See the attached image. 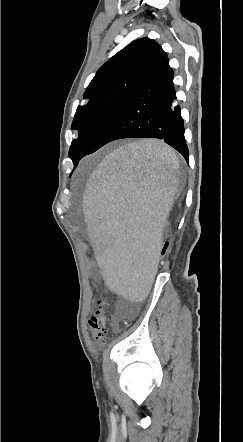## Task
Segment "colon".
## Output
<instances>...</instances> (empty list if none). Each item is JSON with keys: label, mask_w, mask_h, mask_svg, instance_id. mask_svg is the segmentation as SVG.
Listing matches in <instances>:
<instances>
[{"label": "colon", "mask_w": 243, "mask_h": 442, "mask_svg": "<svg viewBox=\"0 0 243 442\" xmlns=\"http://www.w3.org/2000/svg\"><path fill=\"white\" fill-rule=\"evenodd\" d=\"M161 252L160 255H158L157 260L160 263L165 262L167 253L170 251V238L169 237H163L162 243H161ZM104 298L109 299L112 296L111 291L106 290L103 293ZM96 307L98 308L95 315H93L89 319V327L91 330V333L95 340L97 342H103L106 339L107 334V326H108V316L106 312V307L108 305V301L104 299H97L96 300Z\"/></svg>", "instance_id": "obj_1"}]
</instances>
